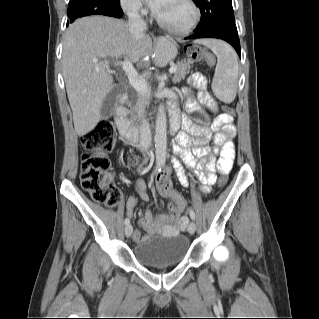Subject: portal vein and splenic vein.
Masks as SVG:
<instances>
[{
    "label": "portal vein and splenic vein",
    "instance_id": "obj_1",
    "mask_svg": "<svg viewBox=\"0 0 319 319\" xmlns=\"http://www.w3.org/2000/svg\"><path fill=\"white\" fill-rule=\"evenodd\" d=\"M94 62L97 63L98 60L94 59ZM115 65H121L122 69L127 73L128 79L132 87L141 94L149 93L148 85L145 81L137 79V74L135 69L133 68L131 62L125 59L123 62H117ZM176 66H171L169 69L170 73H175Z\"/></svg>",
    "mask_w": 319,
    "mask_h": 319
}]
</instances>
